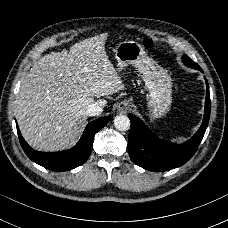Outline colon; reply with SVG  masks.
I'll return each mask as SVG.
<instances>
[{
  "label": "colon",
  "instance_id": "1",
  "mask_svg": "<svg viewBox=\"0 0 228 228\" xmlns=\"http://www.w3.org/2000/svg\"><path fill=\"white\" fill-rule=\"evenodd\" d=\"M142 43L146 46V47H151L153 45L152 40L150 39H141Z\"/></svg>",
  "mask_w": 228,
  "mask_h": 228
}]
</instances>
